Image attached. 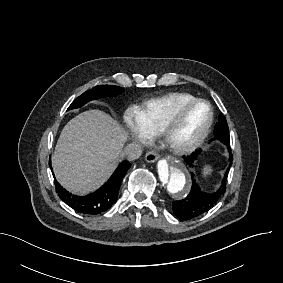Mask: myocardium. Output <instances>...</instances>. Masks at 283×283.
<instances>
[{
	"instance_id": "obj_1",
	"label": "myocardium",
	"mask_w": 283,
	"mask_h": 283,
	"mask_svg": "<svg viewBox=\"0 0 283 283\" xmlns=\"http://www.w3.org/2000/svg\"><path fill=\"white\" fill-rule=\"evenodd\" d=\"M176 102H177L176 100L171 98H165L162 100V110L158 118L159 121L158 137L170 152L179 156H185L197 150L207 139L214 123L215 113L212 105L204 99L197 98L181 104V108L183 109L189 108L194 105H200V104L205 105L208 109V118L201 131L189 144L184 146H175L171 143L170 132H168L167 130L168 121H167L166 111L170 105Z\"/></svg>"
}]
</instances>
